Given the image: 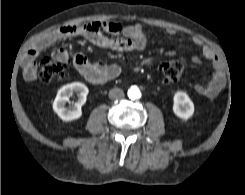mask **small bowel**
<instances>
[{"mask_svg": "<svg viewBox=\"0 0 245 195\" xmlns=\"http://www.w3.org/2000/svg\"><path fill=\"white\" fill-rule=\"evenodd\" d=\"M168 33L174 35L176 31L169 29ZM108 34L113 37L108 36ZM70 37H83L97 46L117 51L143 50L146 46L145 32L138 24L126 26L110 21H93L64 25L48 32L30 47L23 59L24 77L28 81L36 79L35 59L39 53L55 42ZM191 40L201 49L204 58L211 63L213 70L210 79L195 85V91L202 96L213 98L222 90L226 82L223 66L213 49L200 37L192 36ZM54 56L65 61L69 59L67 51L63 48L57 49ZM192 61L200 63L201 59L194 56ZM73 65L82 77L95 85L114 79L121 72V68L117 64H107L100 61L90 62L82 54L74 56Z\"/></svg>", "mask_w": 245, "mask_h": 195, "instance_id": "small-bowel-1", "label": "small bowel"}]
</instances>
